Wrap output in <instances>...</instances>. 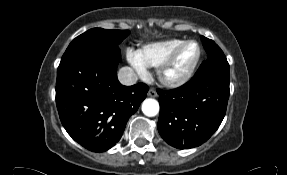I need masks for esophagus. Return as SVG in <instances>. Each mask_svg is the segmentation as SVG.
I'll return each instance as SVG.
<instances>
[{
    "mask_svg": "<svg viewBox=\"0 0 287 175\" xmlns=\"http://www.w3.org/2000/svg\"><path fill=\"white\" fill-rule=\"evenodd\" d=\"M147 95L149 97H157L158 96L157 91L154 88L149 89Z\"/></svg>",
    "mask_w": 287,
    "mask_h": 175,
    "instance_id": "esophagus-1",
    "label": "esophagus"
}]
</instances>
